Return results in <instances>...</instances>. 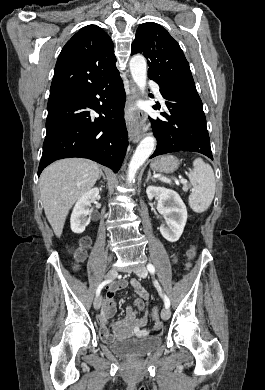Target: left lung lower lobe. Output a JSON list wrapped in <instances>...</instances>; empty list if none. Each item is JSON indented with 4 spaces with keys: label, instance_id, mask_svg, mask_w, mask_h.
<instances>
[{
    "label": "left lung lower lobe",
    "instance_id": "left-lung-lower-lobe-1",
    "mask_svg": "<svg viewBox=\"0 0 265 390\" xmlns=\"http://www.w3.org/2000/svg\"><path fill=\"white\" fill-rule=\"evenodd\" d=\"M160 93L168 110V113L163 112L161 115L167 121L151 119L157 147L150 158L172 152L192 151L213 159L206 117L196 87L160 86ZM157 109H160V105H157Z\"/></svg>",
    "mask_w": 265,
    "mask_h": 390
}]
</instances>
